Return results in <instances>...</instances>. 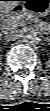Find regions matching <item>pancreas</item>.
Instances as JSON below:
<instances>
[{
	"instance_id": "cf45deb5",
	"label": "pancreas",
	"mask_w": 50,
	"mask_h": 111,
	"mask_svg": "<svg viewBox=\"0 0 50 111\" xmlns=\"http://www.w3.org/2000/svg\"><path fill=\"white\" fill-rule=\"evenodd\" d=\"M27 18H31V19L38 21V26L41 27L42 22L41 21L39 22L38 18L35 17V15H32L31 13H28V12H26L22 15L9 17L3 21V24L6 29H12V28H15L16 26L25 25V23H26L25 20Z\"/></svg>"
}]
</instances>
